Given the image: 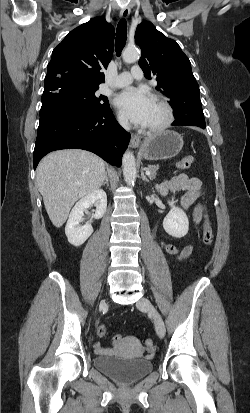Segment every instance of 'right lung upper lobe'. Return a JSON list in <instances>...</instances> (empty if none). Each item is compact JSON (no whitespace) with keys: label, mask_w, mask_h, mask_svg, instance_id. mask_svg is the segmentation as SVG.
Masks as SVG:
<instances>
[{"label":"right lung upper lobe","mask_w":250,"mask_h":413,"mask_svg":"<svg viewBox=\"0 0 250 413\" xmlns=\"http://www.w3.org/2000/svg\"><path fill=\"white\" fill-rule=\"evenodd\" d=\"M113 49L114 27L103 17L75 28L52 52L43 94L71 85L99 88Z\"/></svg>","instance_id":"obj_1"}]
</instances>
